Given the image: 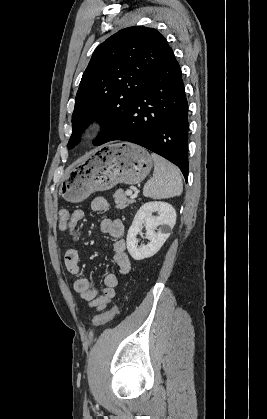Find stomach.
Listing matches in <instances>:
<instances>
[{
	"label": "stomach",
	"mask_w": 267,
	"mask_h": 419,
	"mask_svg": "<svg viewBox=\"0 0 267 419\" xmlns=\"http://www.w3.org/2000/svg\"><path fill=\"white\" fill-rule=\"evenodd\" d=\"M152 166L151 155L138 145L106 144L68 170L59 194L68 202L78 203L95 191L109 190L119 183L138 184Z\"/></svg>",
	"instance_id": "obj_1"
}]
</instances>
